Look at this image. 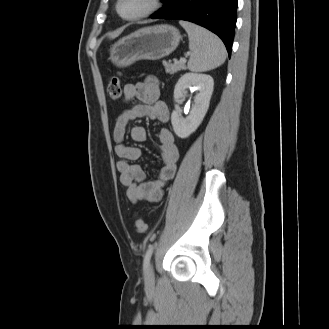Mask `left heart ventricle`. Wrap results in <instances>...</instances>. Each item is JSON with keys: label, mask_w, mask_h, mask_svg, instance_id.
<instances>
[{"label": "left heart ventricle", "mask_w": 329, "mask_h": 329, "mask_svg": "<svg viewBox=\"0 0 329 329\" xmlns=\"http://www.w3.org/2000/svg\"><path fill=\"white\" fill-rule=\"evenodd\" d=\"M148 6V0H123L120 5V11L125 16H131L140 13Z\"/></svg>", "instance_id": "obj_1"}]
</instances>
